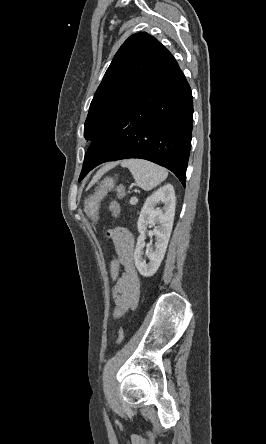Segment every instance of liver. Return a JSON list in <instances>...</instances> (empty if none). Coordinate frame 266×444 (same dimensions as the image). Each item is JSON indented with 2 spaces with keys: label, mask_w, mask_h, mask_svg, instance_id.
Segmentation results:
<instances>
[{
  "label": "liver",
  "mask_w": 266,
  "mask_h": 444,
  "mask_svg": "<svg viewBox=\"0 0 266 444\" xmlns=\"http://www.w3.org/2000/svg\"><path fill=\"white\" fill-rule=\"evenodd\" d=\"M117 163H109L107 165H105L102 169H100L98 171V173L96 174V176L93 178L91 184H93L94 182H96L105 172H107L109 169L113 168L116 166Z\"/></svg>",
  "instance_id": "obj_1"
}]
</instances>
